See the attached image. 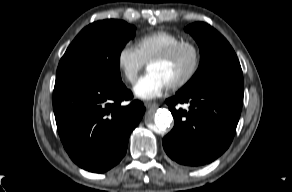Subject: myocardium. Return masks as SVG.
Instances as JSON below:
<instances>
[{
	"label": "myocardium",
	"instance_id": "f54148a6",
	"mask_svg": "<svg viewBox=\"0 0 292 192\" xmlns=\"http://www.w3.org/2000/svg\"><path fill=\"white\" fill-rule=\"evenodd\" d=\"M185 48L190 49L193 53V56H194L193 65L191 69L189 70V72L183 78L169 85V88L172 90H179L185 87L197 75L202 63V54H201V50L199 46L191 40H181L173 44L172 46H170L168 49H166L162 53L152 57L147 62V67H148L151 63L168 61L172 59L179 51Z\"/></svg>",
	"mask_w": 292,
	"mask_h": 192
}]
</instances>
